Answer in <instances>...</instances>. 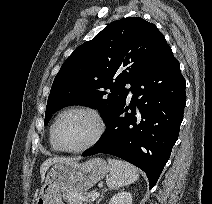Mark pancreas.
<instances>
[{
    "instance_id": "pancreas-1",
    "label": "pancreas",
    "mask_w": 212,
    "mask_h": 204,
    "mask_svg": "<svg viewBox=\"0 0 212 204\" xmlns=\"http://www.w3.org/2000/svg\"><path fill=\"white\" fill-rule=\"evenodd\" d=\"M93 193L87 195H80L72 191H66L63 193V198L68 204H87Z\"/></svg>"
}]
</instances>
